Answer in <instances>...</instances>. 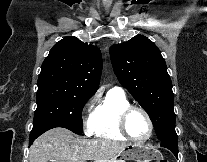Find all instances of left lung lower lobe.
Returning <instances> with one entry per match:
<instances>
[{
	"mask_svg": "<svg viewBox=\"0 0 207 162\" xmlns=\"http://www.w3.org/2000/svg\"><path fill=\"white\" fill-rule=\"evenodd\" d=\"M160 144L162 147H165L169 149L170 151H172V153L178 159V137L177 136H173V137H169L164 140H161Z\"/></svg>",
	"mask_w": 207,
	"mask_h": 162,
	"instance_id": "0a47b994",
	"label": "left lung lower lobe"
}]
</instances>
